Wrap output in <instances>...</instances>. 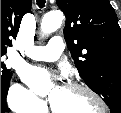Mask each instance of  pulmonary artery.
<instances>
[{"label": "pulmonary artery", "instance_id": "1", "mask_svg": "<svg viewBox=\"0 0 121 113\" xmlns=\"http://www.w3.org/2000/svg\"><path fill=\"white\" fill-rule=\"evenodd\" d=\"M63 38L53 37L46 46H33L26 50V56L37 61L54 62L63 53Z\"/></svg>", "mask_w": 121, "mask_h": 113}]
</instances>
